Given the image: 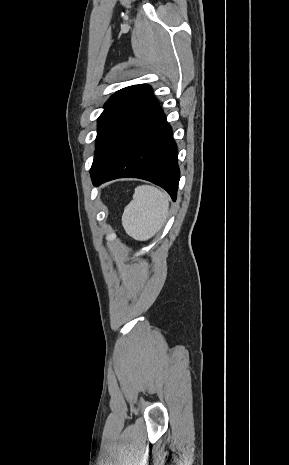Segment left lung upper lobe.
I'll use <instances>...</instances> for the list:
<instances>
[{"label":"left lung upper lobe","mask_w":289,"mask_h":465,"mask_svg":"<svg viewBox=\"0 0 289 465\" xmlns=\"http://www.w3.org/2000/svg\"><path fill=\"white\" fill-rule=\"evenodd\" d=\"M149 85H133L116 92L98 118L96 152L91 172L118 145L143 109L153 100Z\"/></svg>","instance_id":"5c2ea615"}]
</instances>
